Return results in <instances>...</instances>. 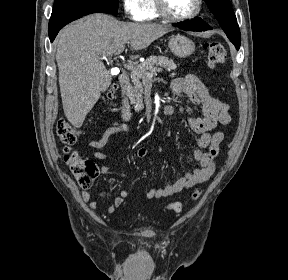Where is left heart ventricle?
Segmentation results:
<instances>
[{
    "label": "left heart ventricle",
    "mask_w": 288,
    "mask_h": 280,
    "mask_svg": "<svg viewBox=\"0 0 288 280\" xmlns=\"http://www.w3.org/2000/svg\"><path fill=\"white\" fill-rule=\"evenodd\" d=\"M168 11L174 16H185L196 6V0H165Z\"/></svg>",
    "instance_id": "b2bd125f"
}]
</instances>
